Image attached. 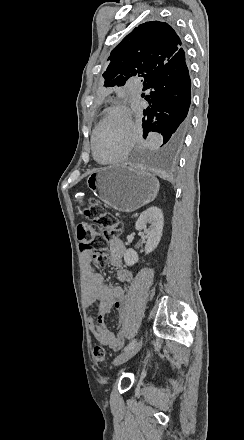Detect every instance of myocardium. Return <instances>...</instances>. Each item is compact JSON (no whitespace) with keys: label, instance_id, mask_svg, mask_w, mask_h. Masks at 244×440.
Here are the masks:
<instances>
[{"label":"myocardium","instance_id":"myocardium-1","mask_svg":"<svg viewBox=\"0 0 244 440\" xmlns=\"http://www.w3.org/2000/svg\"><path fill=\"white\" fill-rule=\"evenodd\" d=\"M112 109H113V111H119L121 113H124L128 117V121H129L131 127L133 128L135 126V124L133 122V115L134 114L129 108H127L126 106H123V105H116ZM113 111L112 110L107 111V114H105V118H102V122H99V126L93 131V135H92V156L95 159V161L101 165H120L122 162L125 161V159L128 156V151L125 147L127 134L122 129L119 130V133L121 135V144L118 149L119 155L115 158H109L107 160H101L97 156L96 149H95V141H96L97 135L100 132V130L102 129V127L105 126V123H107V122L109 123L111 121L110 115H112L114 113Z\"/></svg>","mask_w":244,"mask_h":440}]
</instances>
